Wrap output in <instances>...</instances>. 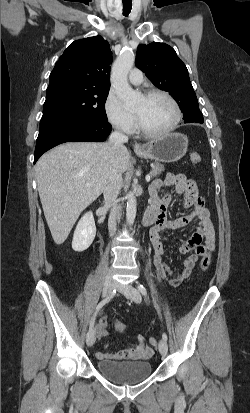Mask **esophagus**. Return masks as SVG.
<instances>
[{
  "label": "esophagus",
  "instance_id": "34e87169",
  "mask_svg": "<svg viewBox=\"0 0 250 413\" xmlns=\"http://www.w3.org/2000/svg\"><path fill=\"white\" fill-rule=\"evenodd\" d=\"M132 147L135 152H140L144 150V147L140 143H137V142H133Z\"/></svg>",
  "mask_w": 250,
  "mask_h": 413
}]
</instances>
